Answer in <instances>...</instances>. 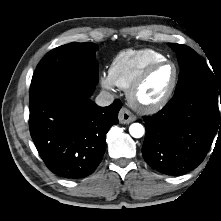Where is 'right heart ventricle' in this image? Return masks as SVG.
<instances>
[{
  "mask_svg": "<svg viewBox=\"0 0 221 221\" xmlns=\"http://www.w3.org/2000/svg\"><path fill=\"white\" fill-rule=\"evenodd\" d=\"M166 59L153 49H128L120 52L111 62L109 76L120 88L128 89L140 72L150 63Z\"/></svg>",
  "mask_w": 221,
  "mask_h": 221,
  "instance_id": "e07e8e85",
  "label": "right heart ventricle"
}]
</instances>
